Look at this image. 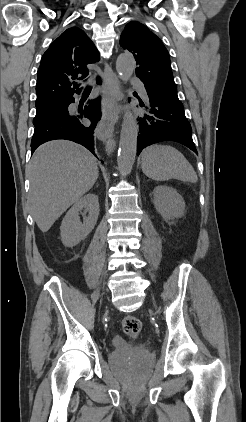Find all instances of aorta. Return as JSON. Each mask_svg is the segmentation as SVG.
<instances>
[{"label": "aorta", "instance_id": "aorta-1", "mask_svg": "<svg viewBox=\"0 0 246 422\" xmlns=\"http://www.w3.org/2000/svg\"><path fill=\"white\" fill-rule=\"evenodd\" d=\"M116 70L120 79L126 83L135 70L134 58L128 53L120 54L117 57ZM137 136L138 123L136 117L131 111L127 110L121 125L117 157V164L121 173L129 174L133 168L137 151Z\"/></svg>", "mask_w": 246, "mask_h": 422}]
</instances>
